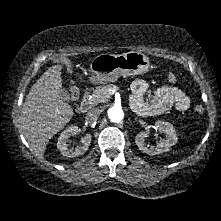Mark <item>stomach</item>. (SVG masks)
<instances>
[{
	"mask_svg": "<svg viewBox=\"0 0 221 221\" xmlns=\"http://www.w3.org/2000/svg\"><path fill=\"white\" fill-rule=\"evenodd\" d=\"M149 58L136 51L124 54H101L90 64L91 77L94 83L114 82L120 76H132L146 73L149 70Z\"/></svg>",
	"mask_w": 221,
	"mask_h": 221,
	"instance_id": "0dacf381",
	"label": "stomach"
}]
</instances>
